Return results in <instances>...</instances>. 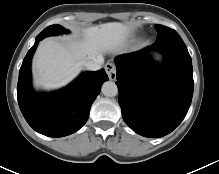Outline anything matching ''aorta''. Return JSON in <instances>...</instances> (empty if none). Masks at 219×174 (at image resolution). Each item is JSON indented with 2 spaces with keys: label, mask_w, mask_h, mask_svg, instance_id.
Returning a JSON list of instances; mask_svg holds the SVG:
<instances>
[{
  "label": "aorta",
  "mask_w": 219,
  "mask_h": 174,
  "mask_svg": "<svg viewBox=\"0 0 219 174\" xmlns=\"http://www.w3.org/2000/svg\"><path fill=\"white\" fill-rule=\"evenodd\" d=\"M101 90L106 97H114L118 94L117 85L112 81H106L103 83Z\"/></svg>",
  "instance_id": "obj_1"
}]
</instances>
